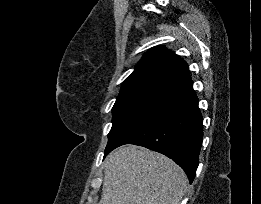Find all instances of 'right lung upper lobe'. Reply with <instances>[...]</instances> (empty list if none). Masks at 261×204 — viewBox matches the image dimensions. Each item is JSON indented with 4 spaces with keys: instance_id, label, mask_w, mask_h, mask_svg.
Masks as SVG:
<instances>
[{
    "instance_id": "cb5924a9",
    "label": "right lung upper lobe",
    "mask_w": 261,
    "mask_h": 204,
    "mask_svg": "<svg viewBox=\"0 0 261 204\" xmlns=\"http://www.w3.org/2000/svg\"><path fill=\"white\" fill-rule=\"evenodd\" d=\"M187 63L164 46L149 50L122 83L119 95L134 92L171 91L190 81Z\"/></svg>"
}]
</instances>
